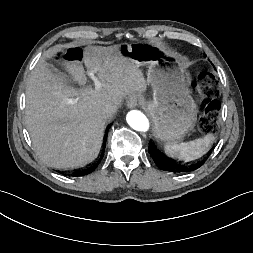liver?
I'll return each instance as SVG.
<instances>
[{
	"label": "liver",
	"instance_id": "1",
	"mask_svg": "<svg viewBox=\"0 0 253 253\" xmlns=\"http://www.w3.org/2000/svg\"><path fill=\"white\" fill-rule=\"evenodd\" d=\"M60 52L62 46L49 49L33 69L26 89L25 122L41 161L67 169L91 162L99 154L108 119L104 106L119 107L127 95L143 94L147 82L140 66L121 53L120 45L89 46L82 61L102 87L86 86L82 62L66 60L62 66L83 87L76 89L46 68V60Z\"/></svg>",
	"mask_w": 253,
	"mask_h": 253
}]
</instances>
